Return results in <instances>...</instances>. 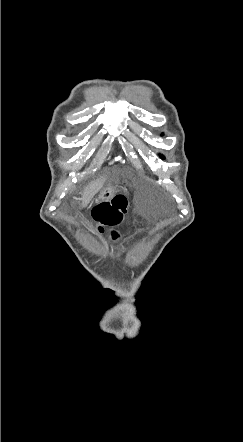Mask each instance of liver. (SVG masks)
<instances>
[{"label": "liver", "instance_id": "liver-1", "mask_svg": "<svg viewBox=\"0 0 243 442\" xmlns=\"http://www.w3.org/2000/svg\"><path fill=\"white\" fill-rule=\"evenodd\" d=\"M105 178L98 179L96 181L91 182L83 191L81 201H82V207H86L93 196L97 194L101 188L103 187Z\"/></svg>", "mask_w": 243, "mask_h": 442}]
</instances>
